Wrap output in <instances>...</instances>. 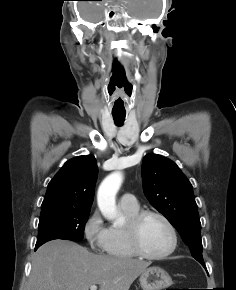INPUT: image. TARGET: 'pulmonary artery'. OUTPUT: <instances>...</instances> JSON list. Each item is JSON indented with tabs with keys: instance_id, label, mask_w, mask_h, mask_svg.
Here are the masks:
<instances>
[{
	"instance_id": "e3ab8cb5",
	"label": "pulmonary artery",
	"mask_w": 236,
	"mask_h": 290,
	"mask_svg": "<svg viewBox=\"0 0 236 290\" xmlns=\"http://www.w3.org/2000/svg\"><path fill=\"white\" fill-rule=\"evenodd\" d=\"M120 205L135 208L138 206V202L132 193H125L120 198Z\"/></svg>"
}]
</instances>
